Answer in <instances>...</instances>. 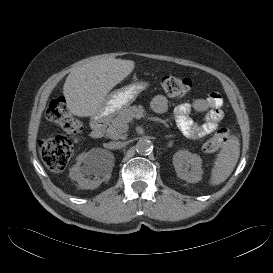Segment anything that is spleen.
I'll list each match as a JSON object with an SVG mask.
<instances>
[{
    "instance_id": "spleen-1",
    "label": "spleen",
    "mask_w": 273,
    "mask_h": 273,
    "mask_svg": "<svg viewBox=\"0 0 273 273\" xmlns=\"http://www.w3.org/2000/svg\"><path fill=\"white\" fill-rule=\"evenodd\" d=\"M239 155V139L231 136L215 159L210 178L211 185H219L230 176L238 162Z\"/></svg>"
}]
</instances>
